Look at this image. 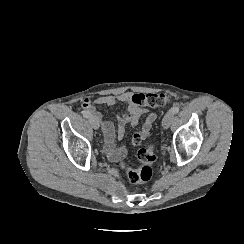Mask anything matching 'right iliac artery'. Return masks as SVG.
Wrapping results in <instances>:
<instances>
[{
  "mask_svg": "<svg viewBox=\"0 0 244 244\" xmlns=\"http://www.w3.org/2000/svg\"><path fill=\"white\" fill-rule=\"evenodd\" d=\"M82 115H83V117H85V118H89V117H90V114H89V112H87V111H82Z\"/></svg>",
  "mask_w": 244,
  "mask_h": 244,
  "instance_id": "right-iliac-artery-1",
  "label": "right iliac artery"
}]
</instances>
